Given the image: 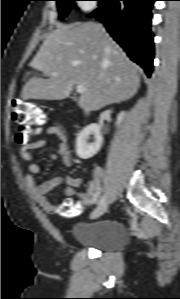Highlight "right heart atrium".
<instances>
[{"label": "right heart atrium", "instance_id": "right-heart-atrium-1", "mask_svg": "<svg viewBox=\"0 0 180 299\" xmlns=\"http://www.w3.org/2000/svg\"><path fill=\"white\" fill-rule=\"evenodd\" d=\"M79 7L84 11H92L96 7L94 0H79Z\"/></svg>", "mask_w": 180, "mask_h": 299}]
</instances>
